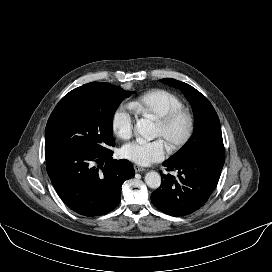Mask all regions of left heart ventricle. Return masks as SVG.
I'll list each match as a JSON object with an SVG mask.
<instances>
[{
  "label": "left heart ventricle",
  "instance_id": "obj_1",
  "mask_svg": "<svg viewBox=\"0 0 272 272\" xmlns=\"http://www.w3.org/2000/svg\"><path fill=\"white\" fill-rule=\"evenodd\" d=\"M186 129V122L184 119L177 120L167 130L162 129L158 124L156 126V136L162 138L165 144L168 146L171 142H174L182 137Z\"/></svg>",
  "mask_w": 272,
  "mask_h": 272
}]
</instances>
